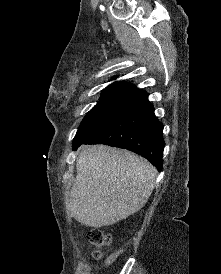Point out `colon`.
I'll list each match as a JSON object with an SVG mask.
<instances>
[{
    "instance_id": "1",
    "label": "colon",
    "mask_w": 221,
    "mask_h": 274,
    "mask_svg": "<svg viewBox=\"0 0 221 274\" xmlns=\"http://www.w3.org/2000/svg\"><path fill=\"white\" fill-rule=\"evenodd\" d=\"M88 240L97 249L93 252V257L99 259L102 256L101 248L110 244V236L100 229H92L88 233Z\"/></svg>"
}]
</instances>
